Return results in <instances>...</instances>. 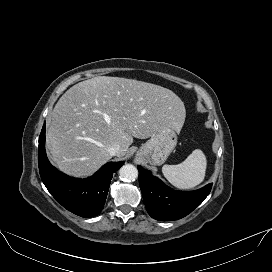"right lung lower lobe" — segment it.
Listing matches in <instances>:
<instances>
[{
	"label": "right lung lower lobe",
	"instance_id": "obj_1",
	"mask_svg": "<svg viewBox=\"0 0 272 272\" xmlns=\"http://www.w3.org/2000/svg\"><path fill=\"white\" fill-rule=\"evenodd\" d=\"M38 164L44 185L63 207L78 216L92 217L103 209L113 173L124 162L107 163L87 179L69 177L54 168L47 159L44 123L39 137Z\"/></svg>",
	"mask_w": 272,
	"mask_h": 272
}]
</instances>
